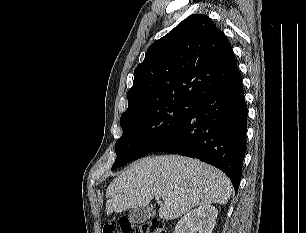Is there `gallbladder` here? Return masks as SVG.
Returning <instances> with one entry per match:
<instances>
[{
  "mask_svg": "<svg viewBox=\"0 0 306 233\" xmlns=\"http://www.w3.org/2000/svg\"><path fill=\"white\" fill-rule=\"evenodd\" d=\"M152 214V211L147 207H138L131 210L128 218L133 225H139L144 223L149 216Z\"/></svg>",
  "mask_w": 306,
  "mask_h": 233,
  "instance_id": "bac80fb5",
  "label": "gallbladder"
}]
</instances>
